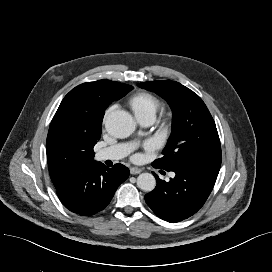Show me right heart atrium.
<instances>
[{"label": "right heart atrium", "mask_w": 272, "mask_h": 272, "mask_svg": "<svg viewBox=\"0 0 272 272\" xmlns=\"http://www.w3.org/2000/svg\"><path fill=\"white\" fill-rule=\"evenodd\" d=\"M110 110H111V109H109V110L107 111V114L110 112Z\"/></svg>", "instance_id": "1"}]
</instances>
